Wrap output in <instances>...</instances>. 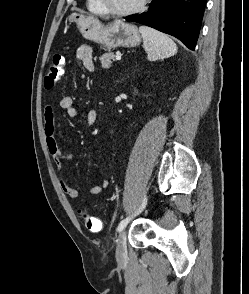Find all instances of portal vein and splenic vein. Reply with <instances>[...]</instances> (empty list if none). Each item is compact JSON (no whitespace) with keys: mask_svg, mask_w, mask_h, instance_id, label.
Wrapping results in <instances>:
<instances>
[{"mask_svg":"<svg viewBox=\"0 0 249 294\" xmlns=\"http://www.w3.org/2000/svg\"><path fill=\"white\" fill-rule=\"evenodd\" d=\"M116 60H121V55H116Z\"/></svg>","mask_w":249,"mask_h":294,"instance_id":"obj_1","label":"portal vein and splenic vein"}]
</instances>
